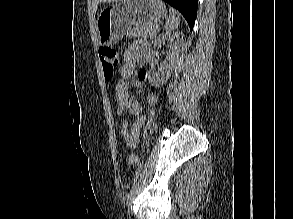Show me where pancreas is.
Returning a JSON list of instances; mask_svg holds the SVG:
<instances>
[{"mask_svg":"<svg viewBox=\"0 0 293 219\" xmlns=\"http://www.w3.org/2000/svg\"><path fill=\"white\" fill-rule=\"evenodd\" d=\"M158 31V25L155 23H148L143 25H136L133 29L128 31V37H149L153 39Z\"/></svg>","mask_w":293,"mask_h":219,"instance_id":"cf45deb5","label":"pancreas"}]
</instances>
